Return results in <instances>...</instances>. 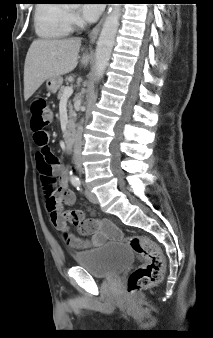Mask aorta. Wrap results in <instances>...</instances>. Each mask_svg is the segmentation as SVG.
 I'll return each mask as SVG.
<instances>
[{
    "label": "aorta",
    "mask_w": 213,
    "mask_h": 338,
    "mask_svg": "<svg viewBox=\"0 0 213 338\" xmlns=\"http://www.w3.org/2000/svg\"><path fill=\"white\" fill-rule=\"evenodd\" d=\"M121 16L120 5L115 4L106 17L96 45L95 80L99 81L109 63Z\"/></svg>",
    "instance_id": "obj_1"
}]
</instances>
